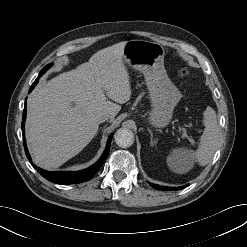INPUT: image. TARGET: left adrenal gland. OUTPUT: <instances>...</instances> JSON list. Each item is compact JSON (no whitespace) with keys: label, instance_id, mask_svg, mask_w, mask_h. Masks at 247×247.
<instances>
[{"label":"left adrenal gland","instance_id":"1","mask_svg":"<svg viewBox=\"0 0 247 247\" xmlns=\"http://www.w3.org/2000/svg\"><path fill=\"white\" fill-rule=\"evenodd\" d=\"M149 133H150V144L154 145L156 143V139L153 138V133L150 129H148Z\"/></svg>","mask_w":247,"mask_h":247}]
</instances>
